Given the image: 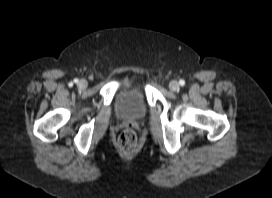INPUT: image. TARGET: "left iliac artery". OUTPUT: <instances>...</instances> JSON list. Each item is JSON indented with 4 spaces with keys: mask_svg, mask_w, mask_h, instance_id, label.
Returning <instances> with one entry per match:
<instances>
[{
    "mask_svg": "<svg viewBox=\"0 0 272 198\" xmlns=\"http://www.w3.org/2000/svg\"><path fill=\"white\" fill-rule=\"evenodd\" d=\"M179 83H180L181 86L185 85V81L184 80H180Z\"/></svg>",
    "mask_w": 272,
    "mask_h": 198,
    "instance_id": "1",
    "label": "left iliac artery"
}]
</instances>
